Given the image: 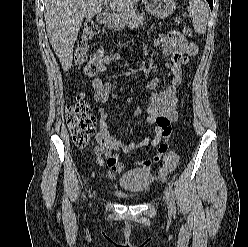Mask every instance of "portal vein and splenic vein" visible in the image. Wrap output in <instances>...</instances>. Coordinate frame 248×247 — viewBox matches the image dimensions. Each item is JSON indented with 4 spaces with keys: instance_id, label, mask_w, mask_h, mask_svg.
Masks as SVG:
<instances>
[{
    "instance_id": "1",
    "label": "portal vein and splenic vein",
    "mask_w": 248,
    "mask_h": 247,
    "mask_svg": "<svg viewBox=\"0 0 248 247\" xmlns=\"http://www.w3.org/2000/svg\"><path fill=\"white\" fill-rule=\"evenodd\" d=\"M107 1H108V0H105L104 4H107Z\"/></svg>"
}]
</instances>
